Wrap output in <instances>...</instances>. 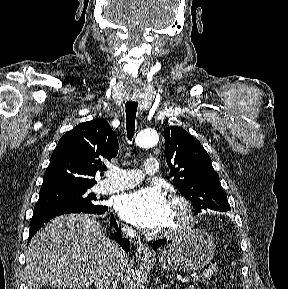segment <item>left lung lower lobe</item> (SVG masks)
Listing matches in <instances>:
<instances>
[{"instance_id": "0a47b994", "label": "left lung lower lobe", "mask_w": 288, "mask_h": 289, "mask_svg": "<svg viewBox=\"0 0 288 289\" xmlns=\"http://www.w3.org/2000/svg\"><path fill=\"white\" fill-rule=\"evenodd\" d=\"M164 242H165V240H157V241H155V242L152 244V246H153L154 249H157V248H159L161 245H163Z\"/></svg>"}]
</instances>
